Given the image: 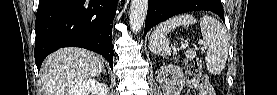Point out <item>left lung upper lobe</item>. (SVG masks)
<instances>
[{
    "label": "left lung upper lobe",
    "instance_id": "5c2ea615",
    "mask_svg": "<svg viewBox=\"0 0 277 95\" xmlns=\"http://www.w3.org/2000/svg\"><path fill=\"white\" fill-rule=\"evenodd\" d=\"M186 3L198 4V2H207V0H184ZM209 4V3H208Z\"/></svg>",
    "mask_w": 277,
    "mask_h": 95
}]
</instances>
